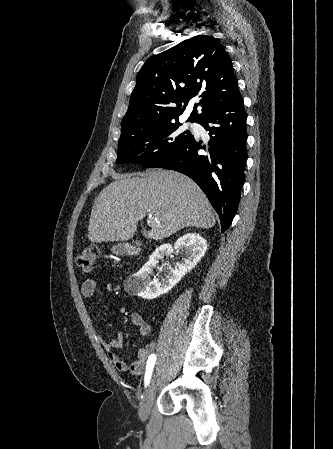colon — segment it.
<instances>
[{"instance_id":"1","label":"colon","mask_w":333,"mask_h":449,"mask_svg":"<svg viewBox=\"0 0 333 449\" xmlns=\"http://www.w3.org/2000/svg\"><path fill=\"white\" fill-rule=\"evenodd\" d=\"M99 256V249L95 246L85 248L76 258V264L84 271H90L93 268Z\"/></svg>"}]
</instances>
